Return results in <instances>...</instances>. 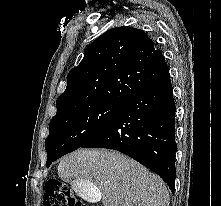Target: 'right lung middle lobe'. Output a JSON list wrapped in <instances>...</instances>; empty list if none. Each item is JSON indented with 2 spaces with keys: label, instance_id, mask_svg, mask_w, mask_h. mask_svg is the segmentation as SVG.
<instances>
[{
  "label": "right lung middle lobe",
  "instance_id": "right-lung-middle-lobe-1",
  "mask_svg": "<svg viewBox=\"0 0 221 206\" xmlns=\"http://www.w3.org/2000/svg\"><path fill=\"white\" fill-rule=\"evenodd\" d=\"M121 108V105L94 103L57 113L50 122V133L45 140L46 166L82 147L104 129Z\"/></svg>",
  "mask_w": 221,
  "mask_h": 206
}]
</instances>
